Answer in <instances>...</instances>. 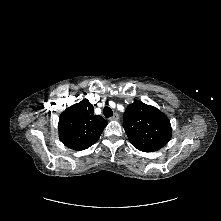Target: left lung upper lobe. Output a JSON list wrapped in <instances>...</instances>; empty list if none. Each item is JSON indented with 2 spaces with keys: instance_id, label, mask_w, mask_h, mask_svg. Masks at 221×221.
Instances as JSON below:
<instances>
[{
  "instance_id": "obj_1",
  "label": "left lung upper lobe",
  "mask_w": 221,
  "mask_h": 221,
  "mask_svg": "<svg viewBox=\"0 0 221 221\" xmlns=\"http://www.w3.org/2000/svg\"><path fill=\"white\" fill-rule=\"evenodd\" d=\"M123 127L131 144L143 152L161 149L172 135L167 116L141 101L128 105L124 113Z\"/></svg>"
}]
</instances>
